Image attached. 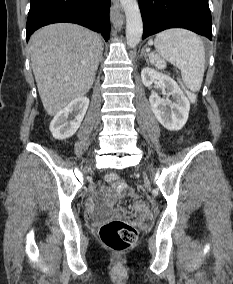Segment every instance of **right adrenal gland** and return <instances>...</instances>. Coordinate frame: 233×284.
<instances>
[{
	"mask_svg": "<svg viewBox=\"0 0 233 284\" xmlns=\"http://www.w3.org/2000/svg\"><path fill=\"white\" fill-rule=\"evenodd\" d=\"M102 55H103V49H102V52H101V55H100V58H99V62H102Z\"/></svg>",
	"mask_w": 233,
	"mask_h": 284,
	"instance_id": "1",
	"label": "right adrenal gland"
}]
</instances>
